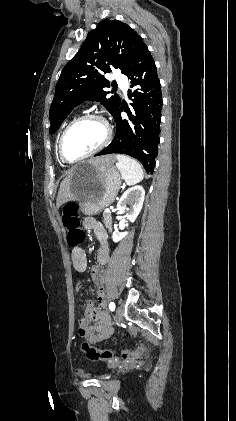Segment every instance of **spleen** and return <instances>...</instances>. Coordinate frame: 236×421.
<instances>
[{
    "label": "spleen",
    "instance_id": "3e777b00",
    "mask_svg": "<svg viewBox=\"0 0 236 421\" xmlns=\"http://www.w3.org/2000/svg\"><path fill=\"white\" fill-rule=\"evenodd\" d=\"M116 158L118 160L116 166L119 168L126 184H136V182L142 180L144 176L143 168L135 158L124 156V154H117Z\"/></svg>",
    "mask_w": 236,
    "mask_h": 421
}]
</instances>
